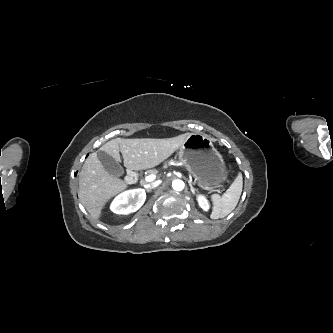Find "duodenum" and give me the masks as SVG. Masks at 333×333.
I'll list each match as a JSON object with an SVG mask.
<instances>
[{"label": "duodenum", "mask_w": 333, "mask_h": 333, "mask_svg": "<svg viewBox=\"0 0 333 333\" xmlns=\"http://www.w3.org/2000/svg\"><path fill=\"white\" fill-rule=\"evenodd\" d=\"M138 174L134 170H129L126 176V182L134 183L137 181Z\"/></svg>", "instance_id": "duodenum-1"}]
</instances>
